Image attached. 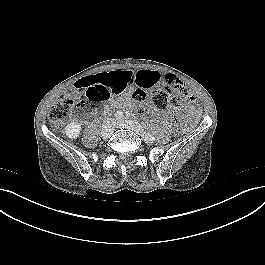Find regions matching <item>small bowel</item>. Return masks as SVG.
<instances>
[{
	"label": "small bowel",
	"mask_w": 265,
	"mask_h": 265,
	"mask_svg": "<svg viewBox=\"0 0 265 265\" xmlns=\"http://www.w3.org/2000/svg\"><path fill=\"white\" fill-rule=\"evenodd\" d=\"M97 77L107 76L110 78L112 93H121L130 87L137 85L144 89H153L164 85L165 75L156 70H117L111 72H103ZM171 76V75H169ZM189 94V93H188ZM194 114H199L195 112Z\"/></svg>",
	"instance_id": "1"
}]
</instances>
